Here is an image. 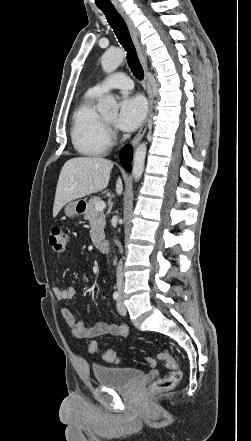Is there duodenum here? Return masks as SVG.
<instances>
[{
  "mask_svg": "<svg viewBox=\"0 0 251 441\" xmlns=\"http://www.w3.org/2000/svg\"><path fill=\"white\" fill-rule=\"evenodd\" d=\"M97 248L101 253H108L109 242L107 240H101L97 243Z\"/></svg>",
  "mask_w": 251,
  "mask_h": 441,
  "instance_id": "duodenum-1",
  "label": "duodenum"
}]
</instances>
